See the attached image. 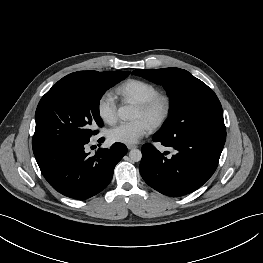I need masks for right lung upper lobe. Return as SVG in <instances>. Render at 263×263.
Wrapping results in <instances>:
<instances>
[{
	"instance_id": "1",
	"label": "right lung upper lobe",
	"mask_w": 263,
	"mask_h": 263,
	"mask_svg": "<svg viewBox=\"0 0 263 263\" xmlns=\"http://www.w3.org/2000/svg\"><path fill=\"white\" fill-rule=\"evenodd\" d=\"M96 71H79L71 73L65 77H63L61 80H59L56 84H71V83H78L82 80H84L86 77L90 76Z\"/></svg>"
}]
</instances>
